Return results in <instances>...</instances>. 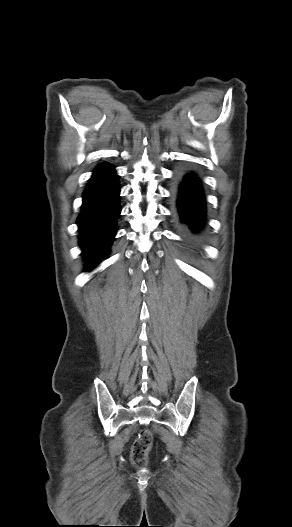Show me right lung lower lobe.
Returning a JSON list of instances; mask_svg holds the SVG:
<instances>
[{"instance_id": "right-lung-lower-lobe-1", "label": "right lung lower lobe", "mask_w": 292, "mask_h": 527, "mask_svg": "<svg viewBox=\"0 0 292 527\" xmlns=\"http://www.w3.org/2000/svg\"><path fill=\"white\" fill-rule=\"evenodd\" d=\"M119 192L114 168L108 164L96 167L83 193L82 211L77 219L79 245L90 267L107 255L116 234V220L121 211Z\"/></svg>"}]
</instances>
